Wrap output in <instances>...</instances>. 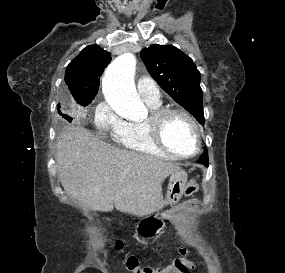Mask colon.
<instances>
[{"label":"colon","instance_id":"5ec220e1","mask_svg":"<svg viewBox=\"0 0 285 273\" xmlns=\"http://www.w3.org/2000/svg\"><path fill=\"white\" fill-rule=\"evenodd\" d=\"M198 191V183L195 179L189 181L186 185L184 194L187 197L193 196ZM115 247H121V241L115 242ZM125 266L129 273H192L194 270V262L191 258L190 251L181 247L179 249V257H177L170 267L152 268L142 267L138 263L136 257L130 256L125 260Z\"/></svg>","mask_w":285,"mask_h":273}]
</instances>
